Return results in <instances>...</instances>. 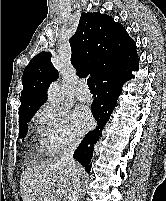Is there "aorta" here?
I'll return each instance as SVG.
<instances>
[{
	"label": "aorta",
	"mask_w": 166,
	"mask_h": 201,
	"mask_svg": "<svg viewBox=\"0 0 166 201\" xmlns=\"http://www.w3.org/2000/svg\"><path fill=\"white\" fill-rule=\"evenodd\" d=\"M48 101L53 105L60 104L63 101V96L57 83L50 86L48 90Z\"/></svg>",
	"instance_id": "1"
}]
</instances>
